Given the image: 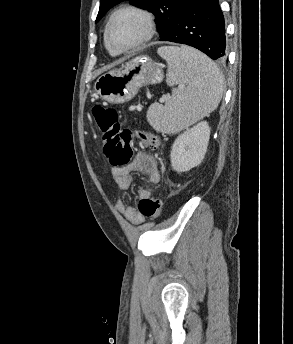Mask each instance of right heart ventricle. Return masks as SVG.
<instances>
[{
	"label": "right heart ventricle",
	"mask_w": 293,
	"mask_h": 344,
	"mask_svg": "<svg viewBox=\"0 0 293 344\" xmlns=\"http://www.w3.org/2000/svg\"><path fill=\"white\" fill-rule=\"evenodd\" d=\"M106 47H107V45H106ZM107 49L111 55H117L116 53L112 52L108 47H107Z\"/></svg>",
	"instance_id": "obj_1"
}]
</instances>
